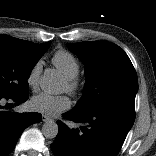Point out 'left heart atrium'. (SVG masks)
Masks as SVG:
<instances>
[{"label": "left heart atrium", "instance_id": "obj_1", "mask_svg": "<svg viewBox=\"0 0 156 156\" xmlns=\"http://www.w3.org/2000/svg\"><path fill=\"white\" fill-rule=\"evenodd\" d=\"M30 105L34 111L47 116H56L67 110L71 106V101L67 95L40 93L31 99Z\"/></svg>", "mask_w": 156, "mask_h": 156}]
</instances>
